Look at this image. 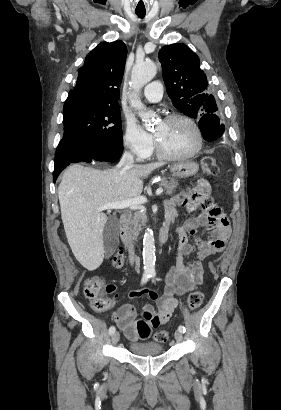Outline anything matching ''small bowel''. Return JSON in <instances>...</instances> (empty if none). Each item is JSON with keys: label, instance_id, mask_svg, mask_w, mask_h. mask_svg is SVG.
Wrapping results in <instances>:
<instances>
[{"label": "small bowel", "instance_id": "1", "mask_svg": "<svg viewBox=\"0 0 281 410\" xmlns=\"http://www.w3.org/2000/svg\"><path fill=\"white\" fill-rule=\"evenodd\" d=\"M209 191V184L204 179H199L193 192L180 194L166 201L165 225L175 224L178 208H184L188 213L196 211ZM201 230L206 231L207 235L203 236ZM175 231L178 236V254L175 266L166 274L164 294L161 296L150 288L125 292L130 298L148 297L156 300V307L145 304L143 318L137 319L135 307L125 303L113 315L119 328L131 341L147 340L153 327L169 321L178 305L176 296L191 292L202 284V260L222 252L231 234L225 216H210L207 213L188 217L183 224L176 226ZM189 237H192V242ZM193 255L195 258H191Z\"/></svg>", "mask_w": 281, "mask_h": 410}]
</instances>
